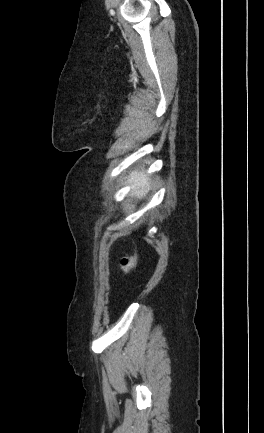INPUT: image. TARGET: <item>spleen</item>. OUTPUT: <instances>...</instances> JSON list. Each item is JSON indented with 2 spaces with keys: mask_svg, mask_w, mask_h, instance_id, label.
Returning a JSON list of instances; mask_svg holds the SVG:
<instances>
[{
  "mask_svg": "<svg viewBox=\"0 0 264 433\" xmlns=\"http://www.w3.org/2000/svg\"><path fill=\"white\" fill-rule=\"evenodd\" d=\"M126 184H133L130 194L139 199L145 197L151 189V180L138 171H134L129 175Z\"/></svg>",
  "mask_w": 264,
  "mask_h": 433,
  "instance_id": "3e777b00",
  "label": "spleen"
}]
</instances>
